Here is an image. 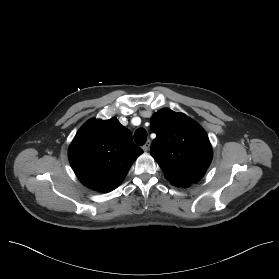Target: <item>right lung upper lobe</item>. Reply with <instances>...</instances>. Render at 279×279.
Here are the masks:
<instances>
[{
	"label": "right lung upper lobe",
	"mask_w": 279,
	"mask_h": 279,
	"mask_svg": "<svg viewBox=\"0 0 279 279\" xmlns=\"http://www.w3.org/2000/svg\"><path fill=\"white\" fill-rule=\"evenodd\" d=\"M142 153L134 144L131 132L116 118L91 119L77 132L68 157L82 184L96 191L110 192L121 184Z\"/></svg>",
	"instance_id": "cb5924a9"
}]
</instances>
